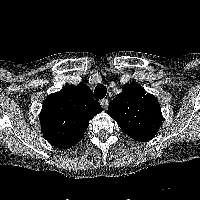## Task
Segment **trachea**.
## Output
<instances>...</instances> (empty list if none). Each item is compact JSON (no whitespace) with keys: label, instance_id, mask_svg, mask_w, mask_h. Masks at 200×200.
Returning <instances> with one entry per match:
<instances>
[{"label":"trachea","instance_id":"1","mask_svg":"<svg viewBox=\"0 0 200 200\" xmlns=\"http://www.w3.org/2000/svg\"><path fill=\"white\" fill-rule=\"evenodd\" d=\"M107 94V88L103 84H98L94 90V97L96 99H102Z\"/></svg>","mask_w":200,"mask_h":200}]
</instances>
